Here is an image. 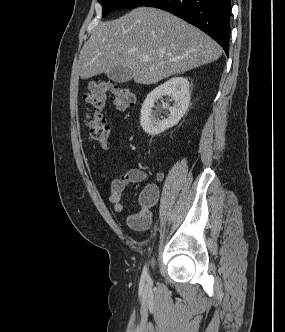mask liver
Here are the masks:
<instances>
[{"label":"liver","instance_id":"1","mask_svg":"<svg viewBox=\"0 0 285 332\" xmlns=\"http://www.w3.org/2000/svg\"><path fill=\"white\" fill-rule=\"evenodd\" d=\"M221 54L220 45L197 27L166 11L138 7L96 25L81 49L78 71L81 79H89L125 67L136 83L149 85L211 63Z\"/></svg>","mask_w":285,"mask_h":332}]
</instances>
